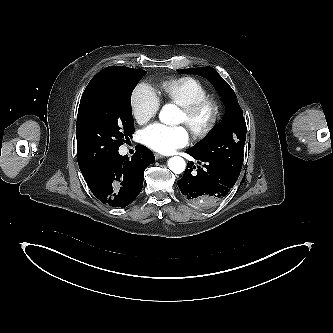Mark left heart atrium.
Here are the masks:
<instances>
[{
    "label": "left heart atrium",
    "instance_id": "39dd6f15",
    "mask_svg": "<svg viewBox=\"0 0 333 333\" xmlns=\"http://www.w3.org/2000/svg\"><path fill=\"white\" fill-rule=\"evenodd\" d=\"M144 145L160 153H171L189 143V133L183 126H166L155 123L141 133Z\"/></svg>",
    "mask_w": 333,
    "mask_h": 333
}]
</instances>
